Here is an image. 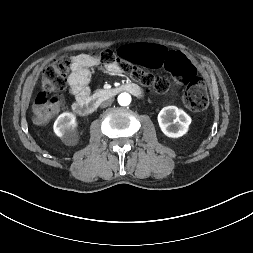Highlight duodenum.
<instances>
[{"mask_svg":"<svg viewBox=\"0 0 253 253\" xmlns=\"http://www.w3.org/2000/svg\"><path fill=\"white\" fill-rule=\"evenodd\" d=\"M129 92L135 96H141L142 92L140 88L133 83L122 84L118 87L100 91L93 96H87L85 98L77 100L74 105V111L81 116L91 115L104 100L112 98L120 92Z\"/></svg>","mask_w":253,"mask_h":253,"instance_id":"410a0bca","label":"duodenum"}]
</instances>
